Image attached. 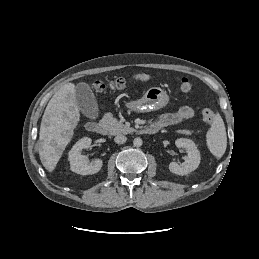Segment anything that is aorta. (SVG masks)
<instances>
[{"instance_id":"1","label":"aorta","mask_w":259,"mask_h":259,"mask_svg":"<svg viewBox=\"0 0 259 259\" xmlns=\"http://www.w3.org/2000/svg\"><path fill=\"white\" fill-rule=\"evenodd\" d=\"M133 144H134V146L135 147H140V146H142V144H143V141H142V139L141 138H135L134 140H133Z\"/></svg>"}]
</instances>
